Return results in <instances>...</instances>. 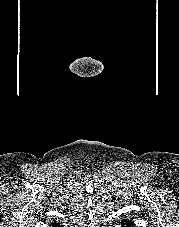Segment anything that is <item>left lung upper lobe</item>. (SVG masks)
<instances>
[{
  "instance_id": "1",
  "label": "left lung upper lobe",
  "mask_w": 179,
  "mask_h": 227,
  "mask_svg": "<svg viewBox=\"0 0 179 227\" xmlns=\"http://www.w3.org/2000/svg\"><path fill=\"white\" fill-rule=\"evenodd\" d=\"M122 224L124 225H132V223H130L129 221L125 220L124 222H122Z\"/></svg>"
}]
</instances>
